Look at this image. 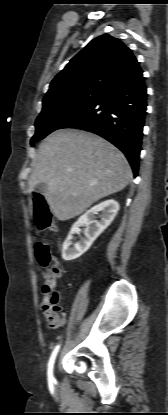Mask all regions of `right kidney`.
<instances>
[{"mask_svg": "<svg viewBox=\"0 0 168 415\" xmlns=\"http://www.w3.org/2000/svg\"><path fill=\"white\" fill-rule=\"evenodd\" d=\"M119 211V204L115 200H106L92 207L73 224L69 235L63 243L62 258L71 261L84 254L97 237L111 224ZM100 213V221L94 220V216ZM87 226L84 231L85 238L71 247L73 234L79 233V228Z\"/></svg>", "mask_w": 168, "mask_h": 415, "instance_id": "right-kidney-1", "label": "right kidney"}]
</instances>
